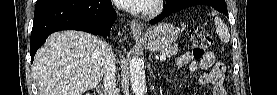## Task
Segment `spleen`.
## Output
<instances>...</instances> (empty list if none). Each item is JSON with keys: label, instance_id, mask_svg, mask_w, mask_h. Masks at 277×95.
Wrapping results in <instances>:
<instances>
[{"label": "spleen", "instance_id": "3e777b00", "mask_svg": "<svg viewBox=\"0 0 277 95\" xmlns=\"http://www.w3.org/2000/svg\"><path fill=\"white\" fill-rule=\"evenodd\" d=\"M214 22L216 24V32L218 33L220 40L224 43L229 42L230 33L224 22L218 17L215 18Z\"/></svg>", "mask_w": 277, "mask_h": 95}]
</instances>
